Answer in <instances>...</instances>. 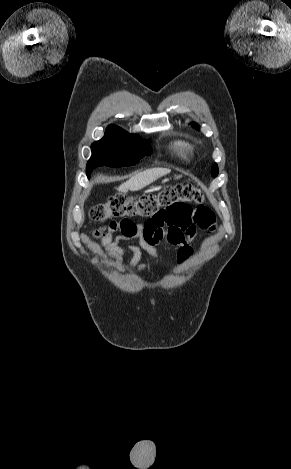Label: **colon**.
Listing matches in <instances>:
<instances>
[{
  "mask_svg": "<svg viewBox=\"0 0 291 469\" xmlns=\"http://www.w3.org/2000/svg\"><path fill=\"white\" fill-rule=\"evenodd\" d=\"M204 193L199 187L177 184L166 187L156 194H144L138 198L115 195L108 201L94 206L90 211L93 221L104 223L113 218L128 220L131 217L153 219L167 211H186L187 203H196V211L201 218L207 216L209 209L202 205ZM106 230L103 229L102 231Z\"/></svg>",
  "mask_w": 291,
  "mask_h": 469,
  "instance_id": "colon-1",
  "label": "colon"
}]
</instances>
